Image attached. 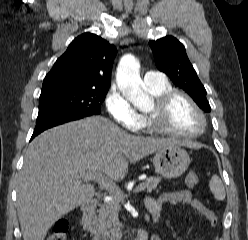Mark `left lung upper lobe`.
I'll list each match as a JSON object with an SVG mask.
<instances>
[{
	"label": "left lung upper lobe",
	"mask_w": 248,
	"mask_h": 240,
	"mask_svg": "<svg viewBox=\"0 0 248 240\" xmlns=\"http://www.w3.org/2000/svg\"><path fill=\"white\" fill-rule=\"evenodd\" d=\"M149 45L157 68L185 90L201 109L210 112L206 90L187 57L184 45L172 36L150 41Z\"/></svg>",
	"instance_id": "obj_1"
}]
</instances>
